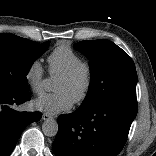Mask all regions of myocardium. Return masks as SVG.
<instances>
[{
	"mask_svg": "<svg viewBox=\"0 0 156 156\" xmlns=\"http://www.w3.org/2000/svg\"><path fill=\"white\" fill-rule=\"evenodd\" d=\"M59 78L66 81H76L77 79H82V87L78 95L73 99L75 104H80L87 99L94 82L93 70L91 66L85 62H81L69 71L62 73Z\"/></svg>",
	"mask_w": 156,
	"mask_h": 156,
	"instance_id": "obj_1",
	"label": "myocardium"
}]
</instances>
